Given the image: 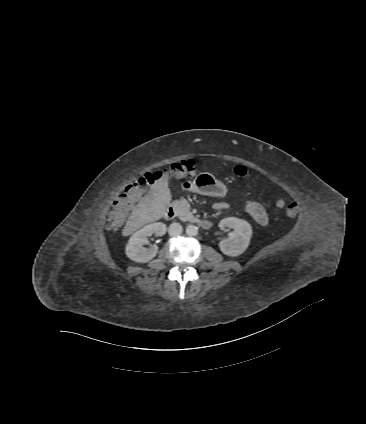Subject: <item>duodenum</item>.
Masks as SVG:
<instances>
[{
    "label": "duodenum",
    "instance_id": "410a0bca",
    "mask_svg": "<svg viewBox=\"0 0 366 424\" xmlns=\"http://www.w3.org/2000/svg\"><path fill=\"white\" fill-rule=\"evenodd\" d=\"M166 219H173L176 216V209L173 205L167 206L164 212ZM198 225L203 229H209L212 226V223L209 220H199Z\"/></svg>",
    "mask_w": 366,
    "mask_h": 424
}]
</instances>
